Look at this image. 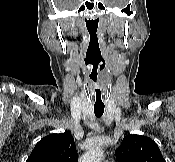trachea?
<instances>
[{
    "label": "trachea",
    "instance_id": "3493384b",
    "mask_svg": "<svg viewBox=\"0 0 175 162\" xmlns=\"http://www.w3.org/2000/svg\"><path fill=\"white\" fill-rule=\"evenodd\" d=\"M94 113L97 118H100L104 113V107H94Z\"/></svg>",
    "mask_w": 175,
    "mask_h": 162
}]
</instances>
